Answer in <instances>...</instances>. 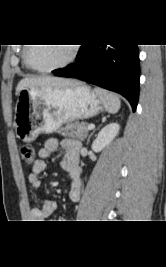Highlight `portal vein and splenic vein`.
<instances>
[{
	"label": "portal vein and splenic vein",
	"mask_w": 166,
	"mask_h": 267,
	"mask_svg": "<svg viewBox=\"0 0 166 267\" xmlns=\"http://www.w3.org/2000/svg\"><path fill=\"white\" fill-rule=\"evenodd\" d=\"M94 128H95V125H94V124H90V125H88V127H87L88 130H92V129H94Z\"/></svg>",
	"instance_id": "1"
}]
</instances>
